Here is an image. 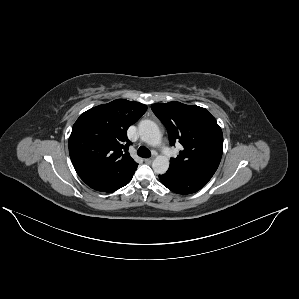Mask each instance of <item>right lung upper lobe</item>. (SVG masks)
<instances>
[{"instance_id": "1", "label": "right lung upper lobe", "mask_w": 299, "mask_h": 299, "mask_svg": "<svg viewBox=\"0 0 299 299\" xmlns=\"http://www.w3.org/2000/svg\"><path fill=\"white\" fill-rule=\"evenodd\" d=\"M138 102L117 99L84 112L69 137V154L79 177L94 183L135 170L126 131L146 112Z\"/></svg>"}]
</instances>
